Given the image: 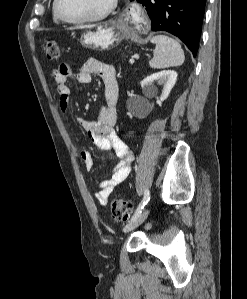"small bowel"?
Here are the masks:
<instances>
[{
  "mask_svg": "<svg viewBox=\"0 0 247 299\" xmlns=\"http://www.w3.org/2000/svg\"><path fill=\"white\" fill-rule=\"evenodd\" d=\"M96 74L101 77L105 86V105L98 112L97 120L77 118L76 123L87 132L93 143L102 150H112L119 158V162L111 172L110 177L97 184L95 196L101 205H105L117 185L123 182L130 173V163L133 159L132 153L125 143L118 137L114 130L117 117V103L119 99V85L113 66L101 61L89 59L74 74L71 67L61 64L53 72L55 86L59 95V104L63 112L69 107L70 89L68 79L75 76L81 84H88L92 76ZM83 165L87 171L93 168V158L87 149L80 153Z\"/></svg>",
  "mask_w": 247,
  "mask_h": 299,
  "instance_id": "obj_1",
  "label": "small bowel"
}]
</instances>
